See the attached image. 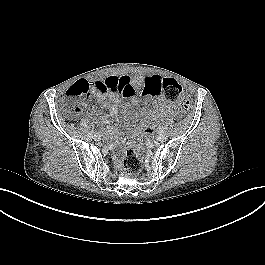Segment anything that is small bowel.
<instances>
[{
	"label": "small bowel",
	"instance_id": "small-bowel-1",
	"mask_svg": "<svg viewBox=\"0 0 265 265\" xmlns=\"http://www.w3.org/2000/svg\"><path fill=\"white\" fill-rule=\"evenodd\" d=\"M160 75H150L144 77L131 78L129 76L109 75L93 79L95 86L94 98L102 102L108 108L109 115L112 117L118 116V109L122 103L121 97L131 102L133 105L139 103V92L143 99L154 97L152 93V81L154 79H162ZM108 91L109 102L105 101V92ZM170 109L165 106L160 99L157 101V112H163ZM133 122L137 123L143 120V111L137 110L132 114ZM107 122L106 119L103 120Z\"/></svg>",
	"mask_w": 265,
	"mask_h": 265
}]
</instances>
